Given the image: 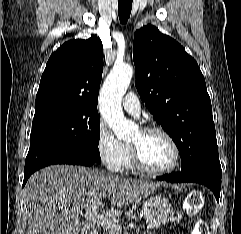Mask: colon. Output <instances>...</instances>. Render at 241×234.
Returning <instances> with one entry per match:
<instances>
[{"label": "colon", "instance_id": "obj_1", "mask_svg": "<svg viewBox=\"0 0 241 234\" xmlns=\"http://www.w3.org/2000/svg\"><path fill=\"white\" fill-rule=\"evenodd\" d=\"M203 204V197L199 191L191 192L184 203V210L189 215L197 214ZM191 234H207L206 225L202 220H197Z\"/></svg>", "mask_w": 241, "mask_h": 234}]
</instances>
